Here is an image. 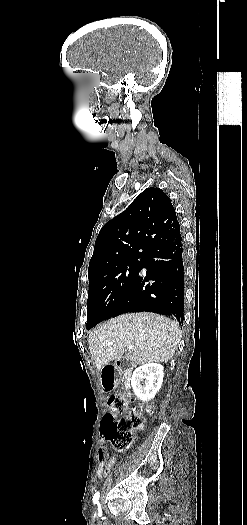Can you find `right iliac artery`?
<instances>
[{
  "mask_svg": "<svg viewBox=\"0 0 247 525\" xmlns=\"http://www.w3.org/2000/svg\"><path fill=\"white\" fill-rule=\"evenodd\" d=\"M93 502H94L95 505L98 504V502H99V492H96V493L94 494V496H93Z\"/></svg>",
  "mask_w": 247,
  "mask_h": 525,
  "instance_id": "right-iliac-artery-1",
  "label": "right iliac artery"
}]
</instances>
